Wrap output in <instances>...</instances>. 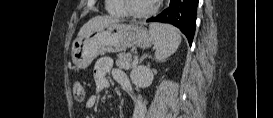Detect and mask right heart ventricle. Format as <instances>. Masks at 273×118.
<instances>
[{
    "instance_id": "right-heart-ventricle-1",
    "label": "right heart ventricle",
    "mask_w": 273,
    "mask_h": 118,
    "mask_svg": "<svg viewBox=\"0 0 273 118\" xmlns=\"http://www.w3.org/2000/svg\"><path fill=\"white\" fill-rule=\"evenodd\" d=\"M106 10L113 15H126V9L123 0H107Z\"/></svg>"
}]
</instances>
